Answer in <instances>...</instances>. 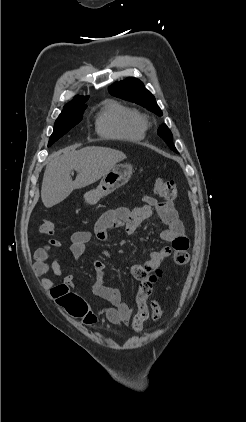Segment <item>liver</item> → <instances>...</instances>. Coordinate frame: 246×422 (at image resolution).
<instances>
[{
  "label": "liver",
  "mask_w": 246,
  "mask_h": 422,
  "mask_svg": "<svg viewBox=\"0 0 246 422\" xmlns=\"http://www.w3.org/2000/svg\"><path fill=\"white\" fill-rule=\"evenodd\" d=\"M125 158L121 151L95 146L54 153L43 176L41 199L44 206L50 208L66 199L73 190L95 183ZM73 170L77 172L74 181L70 176Z\"/></svg>",
  "instance_id": "obj_1"
}]
</instances>
